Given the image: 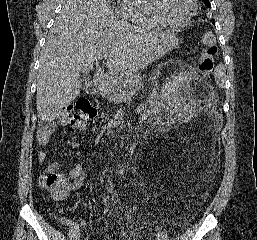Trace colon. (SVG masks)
I'll use <instances>...</instances> for the list:
<instances>
[{
	"label": "colon",
	"instance_id": "obj_1",
	"mask_svg": "<svg viewBox=\"0 0 257 240\" xmlns=\"http://www.w3.org/2000/svg\"><path fill=\"white\" fill-rule=\"evenodd\" d=\"M217 53L216 37L213 33H205L200 42L199 69L202 73L210 75L215 68V57ZM97 111L87 100H80L75 110L68 119L69 129L75 131L81 129L85 122L95 117ZM51 124L42 126L44 130H50ZM41 183L48 189L51 197L55 200L65 198L70 190V183L62 173L51 172L41 178Z\"/></svg>",
	"mask_w": 257,
	"mask_h": 240
}]
</instances>
